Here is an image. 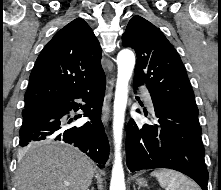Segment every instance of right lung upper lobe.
Masks as SVG:
<instances>
[{"label":"right lung upper lobe","instance_id":"cb5924a9","mask_svg":"<svg viewBox=\"0 0 221 190\" xmlns=\"http://www.w3.org/2000/svg\"><path fill=\"white\" fill-rule=\"evenodd\" d=\"M101 47L77 18L59 30L38 56L25 94V109L41 108L104 75Z\"/></svg>","mask_w":221,"mask_h":190}]
</instances>
